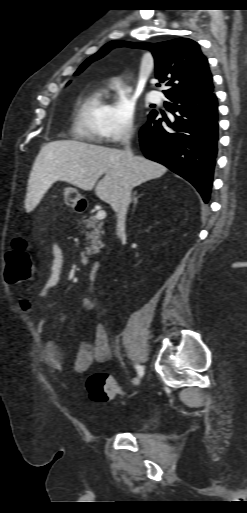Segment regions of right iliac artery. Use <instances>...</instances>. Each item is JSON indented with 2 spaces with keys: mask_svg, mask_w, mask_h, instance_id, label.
<instances>
[{
  "mask_svg": "<svg viewBox=\"0 0 247 513\" xmlns=\"http://www.w3.org/2000/svg\"><path fill=\"white\" fill-rule=\"evenodd\" d=\"M135 368H136V370L138 372V375L140 377H142L144 375V368H143V366L136 364Z\"/></svg>",
  "mask_w": 247,
  "mask_h": 513,
  "instance_id": "right-iliac-artery-1",
  "label": "right iliac artery"
}]
</instances>
